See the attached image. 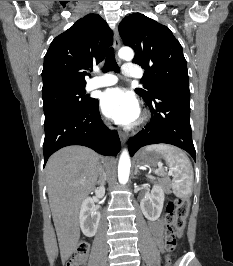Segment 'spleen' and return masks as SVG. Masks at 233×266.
<instances>
[{
    "mask_svg": "<svg viewBox=\"0 0 233 266\" xmlns=\"http://www.w3.org/2000/svg\"><path fill=\"white\" fill-rule=\"evenodd\" d=\"M147 151H155L163 155L171 170L173 192L178 197H189L193 186V168L187 155L180 149L167 145L155 144L146 147ZM155 173L164 176V171L159 168Z\"/></svg>",
    "mask_w": 233,
    "mask_h": 266,
    "instance_id": "3e777b00",
    "label": "spleen"
}]
</instances>
